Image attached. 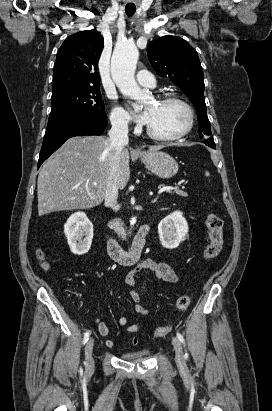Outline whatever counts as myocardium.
<instances>
[{"instance_id": "f54148a6", "label": "myocardium", "mask_w": 272, "mask_h": 411, "mask_svg": "<svg viewBox=\"0 0 272 411\" xmlns=\"http://www.w3.org/2000/svg\"><path fill=\"white\" fill-rule=\"evenodd\" d=\"M158 102H161V103L173 102V103H178L182 105L188 113V124L183 131H181L180 133L176 135H172V136L159 135L155 133L149 126H147L146 127L147 135L150 138L157 140V141H161V142H173V141L180 140L184 138L185 136H187L191 132L195 124V112L192 106L186 100L178 96H175V95H162L159 97Z\"/></svg>"}]
</instances>
